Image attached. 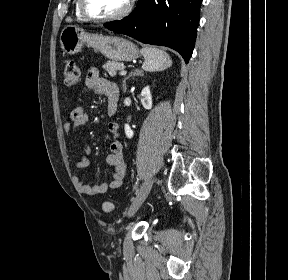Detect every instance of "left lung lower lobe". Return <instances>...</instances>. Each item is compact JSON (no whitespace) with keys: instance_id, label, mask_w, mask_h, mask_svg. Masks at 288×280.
<instances>
[{"instance_id":"left-lung-lower-lobe-1","label":"left lung lower lobe","mask_w":288,"mask_h":280,"mask_svg":"<svg viewBox=\"0 0 288 280\" xmlns=\"http://www.w3.org/2000/svg\"><path fill=\"white\" fill-rule=\"evenodd\" d=\"M202 0H139L126 18L104 24L142 43L167 46L188 63L199 24Z\"/></svg>"}]
</instances>
